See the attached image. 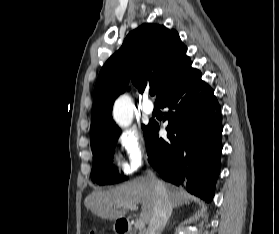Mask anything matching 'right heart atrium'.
<instances>
[{
	"label": "right heart atrium",
	"mask_w": 279,
	"mask_h": 234,
	"mask_svg": "<svg viewBox=\"0 0 279 234\" xmlns=\"http://www.w3.org/2000/svg\"><path fill=\"white\" fill-rule=\"evenodd\" d=\"M118 142L123 152L121 166L124 173H135L148 158V149L142 134L134 129H128L118 136Z\"/></svg>",
	"instance_id": "right-heart-atrium-1"
}]
</instances>
